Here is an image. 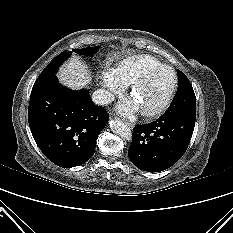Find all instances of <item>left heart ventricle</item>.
<instances>
[{
    "instance_id": "1",
    "label": "left heart ventricle",
    "mask_w": 233,
    "mask_h": 233,
    "mask_svg": "<svg viewBox=\"0 0 233 233\" xmlns=\"http://www.w3.org/2000/svg\"><path fill=\"white\" fill-rule=\"evenodd\" d=\"M171 83L170 73L155 72L136 90L133 100L139 109L153 108L164 99Z\"/></svg>"
}]
</instances>
